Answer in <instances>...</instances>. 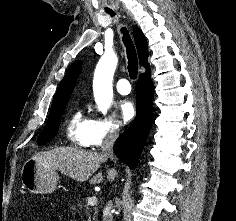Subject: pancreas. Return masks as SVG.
Masks as SVG:
<instances>
[{"label":"pancreas","instance_id":"pancreas-1","mask_svg":"<svg viewBox=\"0 0 236 221\" xmlns=\"http://www.w3.org/2000/svg\"><path fill=\"white\" fill-rule=\"evenodd\" d=\"M84 208V213L88 217L87 221H97V213L98 209L97 207H93V210L88 205H85L80 199H77V204L72 205L70 207L71 211L73 212H78L79 215L81 216L82 221H85L83 218V212L82 209Z\"/></svg>","mask_w":236,"mask_h":221}]
</instances>
